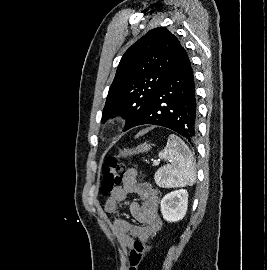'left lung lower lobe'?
Wrapping results in <instances>:
<instances>
[{
	"mask_svg": "<svg viewBox=\"0 0 267 270\" xmlns=\"http://www.w3.org/2000/svg\"><path fill=\"white\" fill-rule=\"evenodd\" d=\"M169 128L193 144L197 134V100L191 62L181 46L168 76L151 104L133 126Z\"/></svg>",
	"mask_w": 267,
	"mask_h": 270,
	"instance_id": "left-lung-lower-lobe-1",
	"label": "left lung lower lobe"
}]
</instances>
